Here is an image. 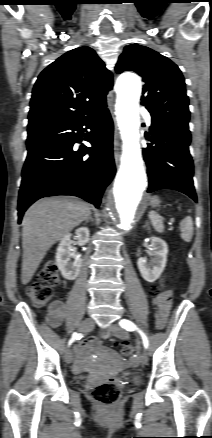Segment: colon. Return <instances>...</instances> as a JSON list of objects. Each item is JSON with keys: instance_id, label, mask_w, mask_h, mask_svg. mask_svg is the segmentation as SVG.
<instances>
[{"instance_id": "colon-1", "label": "colon", "mask_w": 212, "mask_h": 438, "mask_svg": "<svg viewBox=\"0 0 212 438\" xmlns=\"http://www.w3.org/2000/svg\"><path fill=\"white\" fill-rule=\"evenodd\" d=\"M59 281V271L55 263H47L39 272L38 281L31 283L27 288V295L36 307L45 306L51 299L53 288ZM164 291L161 287L154 288L151 291L153 298H157ZM115 345L120 348L122 355L129 356L133 348L130 344L116 342ZM121 394L119 386L113 381H107L97 385L91 391L92 397L103 404L111 406L118 401Z\"/></svg>"}]
</instances>
